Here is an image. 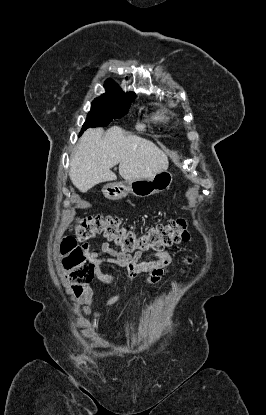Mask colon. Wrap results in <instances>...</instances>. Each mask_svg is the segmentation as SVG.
Segmentation results:
<instances>
[{
  "instance_id": "1",
  "label": "colon",
  "mask_w": 266,
  "mask_h": 415,
  "mask_svg": "<svg viewBox=\"0 0 266 415\" xmlns=\"http://www.w3.org/2000/svg\"><path fill=\"white\" fill-rule=\"evenodd\" d=\"M72 231L74 236L64 238L60 245L62 264L67 277L73 283L77 293L88 284L95 274V264L88 249L78 242L103 236L117 245L123 253L137 251L162 250L189 239L187 223L177 219L168 224H159L143 234H137L124 227L121 221L112 216L91 215L78 218Z\"/></svg>"
}]
</instances>
